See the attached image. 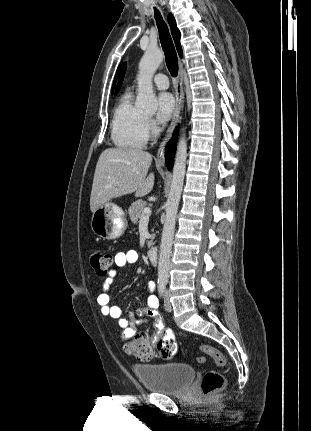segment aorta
<instances>
[{
    "mask_svg": "<svg viewBox=\"0 0 311 431\" xmlns=\"http://www.w3.org/2000/svg\"><path fill=\"white\" fill-rule=\"evenodd\" d=\"M163 58L164 52H161L158 48H156V50L149 48V50H146L144 56H142L139 62V72L136 78L138 84V96L135 106H137V108L148 110V112H156L158 104L156 94H153L152 78L156 70H158L161 62H163ZM184 130L177 144L170 192L165 204L166 217L159 249L158 283H162V281L167 283L168 281L176 216L186 172L187 140Z\"/></svg>",
    "mask_w": 311,
    "mask_h": 431,
    "instance_id": "obj_1",
    "label": "aorta"
}]
</instances>
